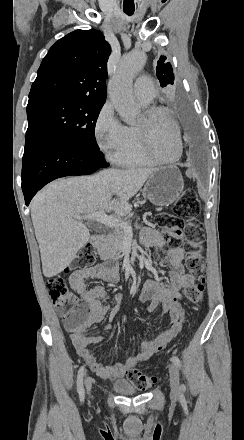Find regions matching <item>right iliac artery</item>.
<instances>
[{
	"mask_svg": "<svg viewBox=\"0 0 244 440\" xmlns=\"http://www.w3.org/2000/svg\"><path fill=\"white\" fill-rule=\"evenodd\" d=\"M85 372V366H81L77 375V391L80 395V400H84V386H83V376Z\"/></svg>",
	"mask_w": 244,
	"mask_h": 440,
	"instance_id": "right-iliac-artery-1",
	"label": "right iliac artery"
}]
</instances>
